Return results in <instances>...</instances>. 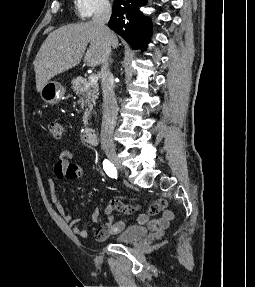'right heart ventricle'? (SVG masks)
<instances>
[{
    "mask_svg": "<svg viewBox=\"0 0 255 287\" xmlns=\"http://www.w3.org/2000/svg\"><path fill=\"white\" fill-rule=\"evenodd\" d=\"M72 39H76V38H72ZM127 39V38H124ZM120 48H134V47H120Z\"/></svg>",
    "mask_w": 255,
    "mask_h": 287,
    "instance_id": "e07e8e85",
    "label": "right heart ventricle"
}]
</instances>
